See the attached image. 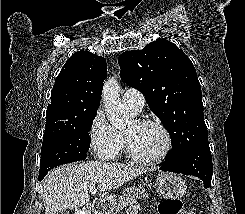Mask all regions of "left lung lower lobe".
<instances>
[{"label": "left lung lower lobe", "mask_w": 245, "mask_h": 214, "mask_svg": "<svg viewBox=\"0 0 245 214\" xmlns=\"http://www.w3.org/2000/svg\"><path fill=\"white\" fill-rule=\"evenodd\" d=\"M160 170L199 177L204 187H210L213 167L209 144L194 146L171 158L165 157Z\"/></svg>", "instance_id": "obj_1"}]
</instances>
